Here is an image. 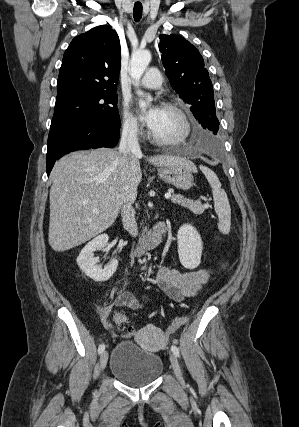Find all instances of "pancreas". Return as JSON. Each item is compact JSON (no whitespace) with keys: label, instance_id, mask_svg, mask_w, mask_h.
<instances>
[{"label":"pancreas","instance_id":"1","mask_svg":"<svg viewBox=\"0 0 299 427\" xmlns=\"http://www.w3.org/2000/svg\"><path fill=\"white\" fill-rule=\"evenodd\" d=\"M171 201L175 204L188 208L196 215H200L204 212V205L199 200L194 201L191 199H187L180 194H173L171 197ZM144 231H146V228Z\"/></svg>","mask_w":299,"mask_h":427}]
</instances>
